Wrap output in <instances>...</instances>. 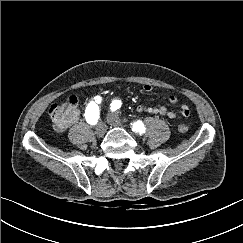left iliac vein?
Segmentation results:
<instances>
[{
    "label": "left iliac vein",
    "instance_id": "1",
    "mask_svg": "<svg viewBox=\"0 0 243 243\" xmlns=\"http://www.w3.org/2000/svg\"><path fill=\"white\" fill-rule=\"evenodd\" d=\"M107 122L111 125V126H115V127H122V122L120 121V119L114 115L113 113H109L107 115Z\"/></svg>",
    "mask_w": 243,
    "mask_h": 243
}]
</instances>
